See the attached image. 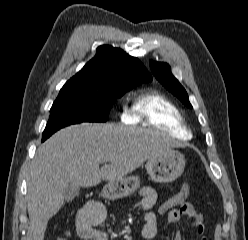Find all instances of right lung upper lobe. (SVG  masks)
<instances>
[{
  "instance_id": "1",
  "label": "right lung upper lobe",
  "mask_w": 248,
  "mask_h": 240,
  "mask_svg": "<svg viewBox=\"0 0 248 240\" xmlns=\"http://www.w3.org/2000/svg\"><path fill=\"white\" fill-rule=\"evenodd\" d=\"M143 64L123 50L109 45L97 48V53L62 89H105L127 81H150Z\"/></svg>"
}]
</instances>
